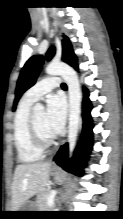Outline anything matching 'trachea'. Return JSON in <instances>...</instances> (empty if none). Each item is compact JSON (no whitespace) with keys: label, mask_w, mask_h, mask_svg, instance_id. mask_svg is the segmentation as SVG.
<instances>
[{"label":"trachea","mask_w":123,"mask_h":219,"mask_svg":"<svg viewBox=\"0 0 123 219\" xmlns=\"http://www.w3.org/2000/svg\"><path fill=\"white\" fill-rule=\"evenodd\" d=\"M61 87H62L63 89H66V88H67V86H66L65 83H62V84H61Z\"/></svg>","instance_id":"trachea-1"}]
</instances>
